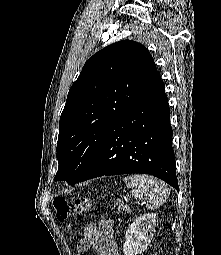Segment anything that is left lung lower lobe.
Masks as SVG:
<instances>
[{"instance_id": "obj_1", "label": "left lung lower lobe", "mask_w": 221, "mask_h": 255, "mask_svg": "<svg viewBox=\"0 0 221 255\" xmlns=\"http://www.w3.org/2000/svg\"><path fill=\"white\" fill-rule=\"evenodd\" d=\"M170 109L161 78L113 124L78 182L103 175L145 173L179 191Z\"/></svg>"}]
</instances>
